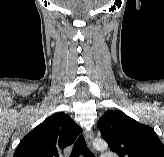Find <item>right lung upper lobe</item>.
Listing matches in <instances>:
<instances>
[{
    "label": "right lung upper lobe",
    "instance_id": "obj_1",
    "mask_svg": "<svg viewBox=\"0 0 164 157\" xmlns=\"http://www.w3.org/2000/svg\"><path fill=\"white\" fill-rule=\"evenodd\" d=\"M81 128L65 113H55L27 134L13 157H61L73 144Z\"/></svg>",
    "mask_w": 164,
    "mask_h": 157
}]
</instances>
